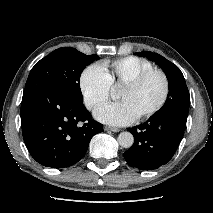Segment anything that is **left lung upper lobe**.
I'll return each mask as SVG.
<instances>
[{
  "instance_id": "5c2ea615",
  "label": "left lung upper lobe",
  "mask_w": 213,
  "mask_h": 213,
  "mask_svg": "<svg viewBox=\"0 0 213 213\" xmlns=\"http://www.w3.org/2000/svg\"><path fill=\"white\" fill-rule=\"evenodd\" d=\"M154 61L165 73L168 79L169 93L165 104L152 116L163 112L176 111L188 115L190 96L181 70L163 56L150 51L135 53Z\"/></svg>"
}]
</instances>
